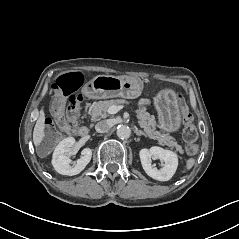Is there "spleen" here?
Segmentation results:
<instances>
[{"mask_svg": "<svg viewBox=\"0 0 239 239\" xmlns=\"http://www.w3.org/2000/svg\"><path fill=\"white\" fill-rule=\"evenodd\" d=\"M196 159L194 157H189L185 163L184 172H188L195 165Z\"/></svg>", "mask_w": 239, "mask_h": 239, "instance_id": "3e777b00", "label": "spleen"}]
</instances>
